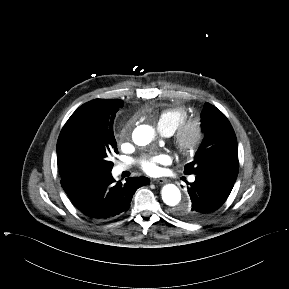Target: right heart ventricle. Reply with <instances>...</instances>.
<instances>
[{"label":"right heart ventricle","instance_id":"1","mask_svg":"<svg viewBox=\"0 0 289 289\" xmlns=\"http://www.w3.org/2000/svg\"><path fill=\"white\" fill-rule=\"evenodd\" d=\"M189 117V112L185 107L173 106L162 110L158 116V128L163 131L174 133L176 129Z\"/></svg>","mask_w":289,"mask_h":289}]
</instances>
